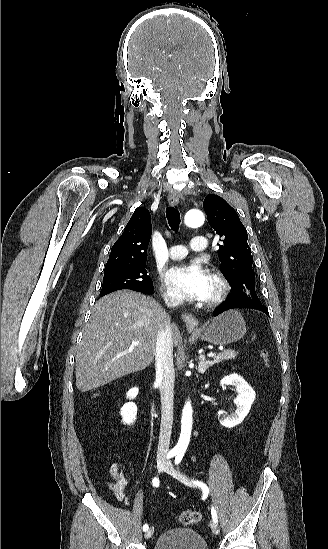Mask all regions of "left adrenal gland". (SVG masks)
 Listing matches in <instances>:
<instances>
[{
	"label": "left adrenal gland",
	"mask_w": 328,
	"mask_h": 549,
	"mask_svg": "<svg viewBox=\"0 0 328 549\" xmlns=\"http://www.w3.org/2000/svg\"><path fill=\"white\" fill-rule=\"evenodd\" d=\"M212 365H214L213 361H206L205 355H201L198 367L199 373H205L206 369H209Z\"/></svg>",
	"instance_id": "1"
}]
</instances>
